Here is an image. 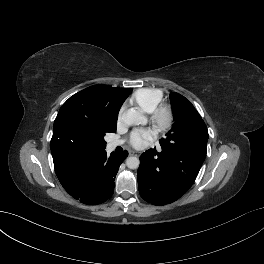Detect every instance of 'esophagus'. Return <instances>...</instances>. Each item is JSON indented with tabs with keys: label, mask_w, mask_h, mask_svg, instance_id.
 Instances as JSON below:
<instances>
[{
	"label": "esophagus",
	"mask_w": 264,
	"mask_h": 264,
	"mask_svg": "<svg viewBox=\"0 0 264 264\" xmlns=\"http://www.w3.org/2000/svg\"><path fill=\"white\" fill-rule=\"evenodd\" d=\"M129 154L130 155H135V156H138L139 155V153L138 152H135V151H130Z\"/></svg>",
	"instance_id": "1"
}]
</instances>
